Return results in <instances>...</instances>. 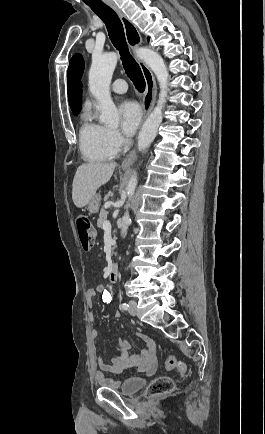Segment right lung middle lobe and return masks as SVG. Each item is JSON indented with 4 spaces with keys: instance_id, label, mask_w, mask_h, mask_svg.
<instances>
[{
    "instance_id": "obj_1",
    "label": "right lung middle lobe",
    "mask_w": 265,
    "mask_h": 434,
    "mask_svg": "<svg viewBox=\"0 0 265 434\" xmlns=\"http://www.w3.org/2000/svg\"><path fill=\"white\" fill-rule=\"evenodd\" d=\"M71 110L76 115L81 110V105L71 106Z\"/></svg>"
}]
</instances>
